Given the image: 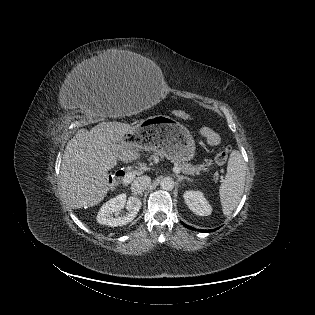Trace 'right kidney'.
<instances>
[{"label": "right kidney", "mask_w": 315, "mask_h": 315, "mask_svg": "<svg viewBox=\"0 0 315 315\" xmlns=\"http://www.w3.org/2000/svg\"><path fill=\"white\" fill-rule=\"evenodd\" d=\"M141 206L142 203L139 198L131 196L127 200L126 194H120L107 201L100 208L97 222L110 227L126 225L137 216ZM124 207L128 212L122 215L121 211Z\"/></svg>", "instance_id": "ca27d5eb"}]
</instances>
